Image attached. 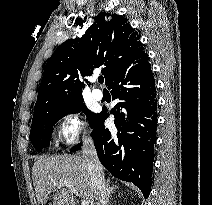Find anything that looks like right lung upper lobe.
<instances>
[{"instance_id":"obj_1","label":"right lung upper lobe","mask_w":212,"mask_h":205,"mask_svg":"<svg viewBox=\"0 0 212 205\" xmlns=\"http://www.w3.org/2000/svg\"><path fill=\"white\" fill-rule=\"evenodd\" d=\"M145 53L140 35L117 14L101 13L82 38L62 43L48 60L34 110L45 105H69L82 100L79 74L91 75L104 66L107 85L123 66Z\"/></svg>"}]
</instances>
